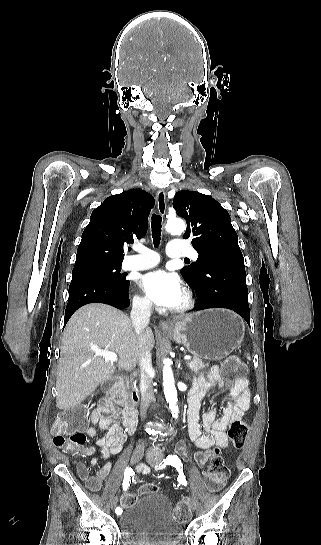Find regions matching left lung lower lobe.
I'll return each instance as SVG.
<instances>
[{
	"mask_svg": "<svg viewBox=\"0 0 321 545\" xmlns=\"http://www.w3.org/2000/svg\"><path fill=\"white\" fill-rule=\"evenodd\" d=\"M190 285L197 294L194 311L227 308L238 313L250 325L246 272L241 252L216 254L206 262L199 278Z\"/></svg>",
	"mask_w": 321,
	"mask_h": 545,
	"instance_id": "obj_1",
	"label": "left lung lower lobe"
}]
</instances>
